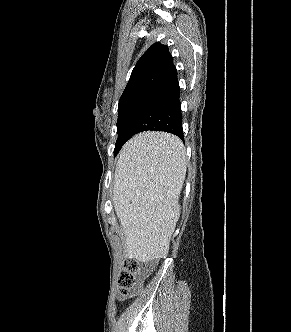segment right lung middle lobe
I'll use <instances>...</instances> for the list:
<instances>
[{
  "label": "right lung middle lobe",
  "instance_id": "obj_1",
  "mask_svg": "<svg viewBox=\"0 0 291 332\" xmlns=\"http://www.w3.org/2000/svg\"><path fill=\"white\" fill-rule=\"evenodd\" d=\"M146 94H138L135 96H131L122 100H119L118 104V121H117V133H118V139L115 144L114 149V155L118 153V151L121 149L123 144L126 142L124 134V130L132 116V112L135 109V107L139 104L141 99Z\"/></svg>",
  "mask_w": 291,
  "mask_h": 332
}]
</instances>
